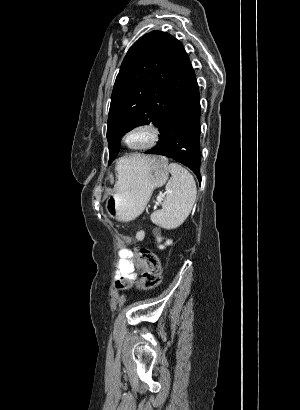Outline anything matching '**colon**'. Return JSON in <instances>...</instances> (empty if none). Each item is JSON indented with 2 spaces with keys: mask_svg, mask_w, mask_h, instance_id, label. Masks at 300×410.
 Listing matches in <instances>:
<instances>
[{
  "mask_svg": "<svg viewBox=\"0 0 300 410\" xmlns=\"http://www.w3.org/2000/svg\"><path fill=\"white\" fill-rule=\"evenodd\" d=\"M135 262L142 270L139 289L151 290L157 287L161 282L159 258L153 251L146 248L136 247L134 249ZM132 284L129 280H120L115 284L116 289L123 290Z\"/></svg>",
  "mask_w": 300,
  "mask_h": 410,
  "instance_id": "colon-1",
  "label": "colon"
}]
</instances>
